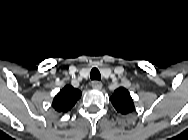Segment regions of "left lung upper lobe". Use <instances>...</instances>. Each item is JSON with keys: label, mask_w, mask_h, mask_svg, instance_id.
I'll return each mask as SVG.
<instances>
[{"label": "left lung upper lobe", "mask_w": 188, "mask_h": 140, "mask_svg": "<svg viewBox=\"0 0 188 140\" xmlns=\"http://www.w3.org/2000/svg\"><path fill=\"white\" fill-rule=\"evenodd\" d=\"M110 101L116 111L123 115L129 114L134 110V103L130 93L123 87L115 90L114 94L110 97Z\"/></svg>", "instance_id": "left-lung-upper-lobe-1"}]
</instances>
